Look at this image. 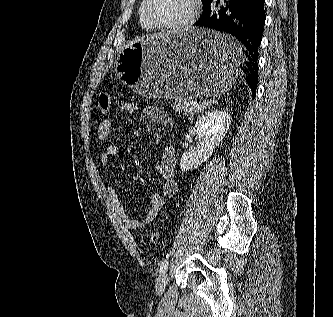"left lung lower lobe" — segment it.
Returning a JSON list of instances; mask_svg holds the SVG:
<instances>
[{"label": "left lung lower lobe", "mask_w": 333, "mask_h": 317, "mask_svg": "<svg viewBox=\"0 0 333 317\" xmlns=\"http://www.w3.org/2000/svg\"><path fill=\"white\" fill-rule=\"evenodd\" d=\"M265 0H211L195 26L230 34L246 48V57L240 54L237 43L216 46L211 52L229 62L244 58L239 67L255 98L258 83V48L262 40L266 15Z\"/></svg>", "instance_id": "1"}]
</instances>
